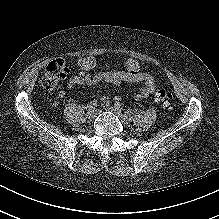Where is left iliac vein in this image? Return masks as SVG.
<instances>
[{
  "instance_id": "1",
  "label": "left iliac vein",
  "mask_w": 219,
  "mask_h": 219,
  "mask_svg": "<svg viewBox=\"0 0 219 219\" xmlns=\"http://www.w3.org/2000/svg\"><path fill=\"white\" fill-rule=\"evenodd\" d=\"M107 109L118 116L120 121L124 124H128L131 121V118L124 114L120 108H118L116 105L109 106V104H105Z\"/></svg>"
}]
</instances>
